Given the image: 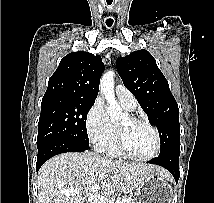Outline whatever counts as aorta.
I'll return each instance as SVG.
<instances>
[{"label":"aorta","mask_w":214,"mask_h":203,"mask_svg":"<svg viewBox=\"0 0 214 203\" xmlns=\"http://www.w3.org/2000/svg\"><path fill=\"white\" fill-rule=\"evenodd\" d=\"M114 75L115 73L113 71H107L102 75L100 80V91L108 102L107 113L113 122L118 121L125 116L122 108L115 100Z\"/></svg>","instance_id":"1"}]
</instances>
